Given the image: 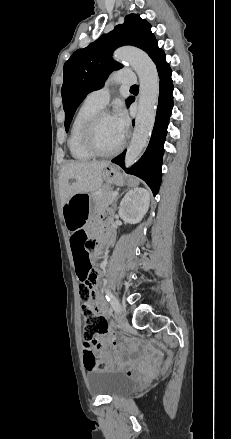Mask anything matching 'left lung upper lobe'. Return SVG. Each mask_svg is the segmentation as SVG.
I'll return each instance as SVG.
<instances>
[{
    "label": "left lung upper lobe",
    "instance_id": "left-lung-upper-lobe-1",
    "mask_svg": "<svg viewBox=\"0 0 231 439\" xmlns=\"http://www.w3.org/2000/svg\"><path fill=\"white\" fill-rule=\"evenodd\" d=\"M123 45L141 48L151 58L161 51L151 32V25L138 14H130L125 17V22L117 25L113 31L74 52L63 68L61 94L66 131L77 107L86 95L102 88L108 75L113 70L122 68L120 63L113 60L112 53Z\"/></svg>",
    "mask_w": 231,
    "mask_h": 439
}]
</instances>
